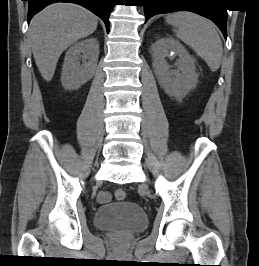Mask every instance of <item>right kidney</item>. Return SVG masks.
<instances>
[{
    "mask_svg": "<svg viewBox=\"0 0 259 266\" xmlns=\"http://www.w3.org/2000/svg\"><path fill=\"white\" fill-rule=\"evenodd\" d=\"M98 57L99 42L96 38L79 41L70 47L62 68V86L67 90H74L89 81L95 73Z\"/></svg>",
    "mask_w": 259,
    "mask_h": 266,
    "instance_id": "obj_1",
    "label": "right kidney"
}]
</instances>
